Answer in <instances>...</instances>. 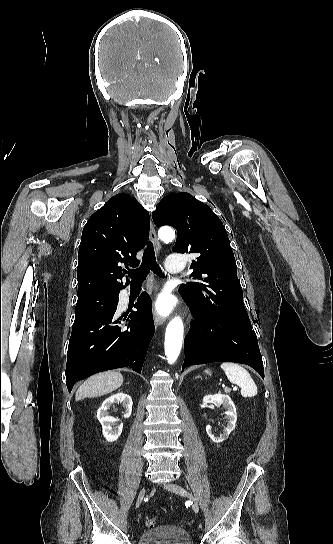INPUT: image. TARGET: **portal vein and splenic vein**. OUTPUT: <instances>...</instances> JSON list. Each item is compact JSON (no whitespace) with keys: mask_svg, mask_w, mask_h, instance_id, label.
Here are the masks:
<instances>
[{"mask_svg":"<svg viewBox=\"0 0 333 544\" xmlns=\"http://www.w3.org/2000/svg\"><path fill=\"white\" fill-rule=\"evenodd\" d=\"M225 390L229 391V388H225ZM233 390H238V388L236 386H233Z\"/></svg>","mask_w":333,"mask_h":544,"instance_id":"obj_1","label":"portal vein and splenic vein"}]
</instances>
